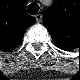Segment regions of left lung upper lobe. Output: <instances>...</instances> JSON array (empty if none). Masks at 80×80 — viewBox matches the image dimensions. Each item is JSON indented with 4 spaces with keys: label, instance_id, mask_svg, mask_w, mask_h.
<instances>
[{
    "label": "left lung upper lobe",
    "instance_id": "1",
    "mask_svg": "<svg viewBox=\"0 0 80 80\" xmlns=\"http://www.w3.org/2000/svg\"><path fill=\"white\" fill-rule=\"evenodd\" d=\"M70 0H55L43 16V23L51 34L54 42L61 46H68L76 32L73 12L69 6Z\"/></svg>",
    "mask_w": 80,
    "mask_h": 80
}]
</instances>
